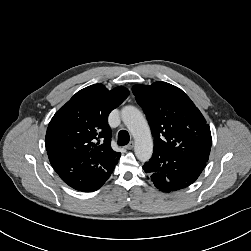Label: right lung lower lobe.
Here are the masks:
<instances>
[{"label": "right lung lower lobe", "instance_id": "1", "mask_svg": "<svg viewBox=\"0 0 251 251\" xmlns=\"http://www.w3.org/2000/svg\"><path fill=\"white\" fill-rule=\"evenodd\" d=\"M50 163L60 178L70 187L84 192L99 189L112 171H105L93 160H79L64 150L49 157Z\"/></svg>", "mask_w": 251, "mask_h": 251}]
</instances>
